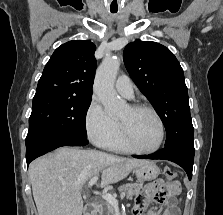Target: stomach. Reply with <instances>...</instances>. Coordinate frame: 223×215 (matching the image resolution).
Returning a JSON list of instances; mask_svg holds the SVG:
<instances>
[{
	"label": "stomach",
	"mask_w": 223,
	"mask_h": 215,
	"mask_svg": "<svg viewBox=\"0 0 223 215\" xmlns=\"http://www.w3.org/2000/svg\"><path fill=\"white\" fill-rule=\"evenodd\" d=\"M133 173H135L138 180L151 181V179L158 177L160 169L153 161H146L143 165L134 167Z\"/></svg>",
	"instance_id": "obj_1"
}]
</instances>
